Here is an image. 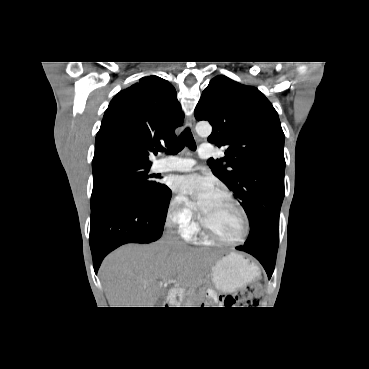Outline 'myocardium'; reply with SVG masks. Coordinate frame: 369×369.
Returning <instances> with one entry per match:
<instances>
[{
	"label": "myocardium",
	"instance_id": "myocardium-1",
	"mask_svg": "<svg viewBox=\"0 0 369 369\" xmlns=\"http://www.w3.org/2000/svg\"><path fill=\"white\" fill-rule=\"evenodd\" d=\"M216 193L218 195H221L223 197H226L227 199H229L234 206L238 209V211L240 212L241 216H242V220H243V232L242 235L239 238L236 239H226L223 238L219 235H217L216 233H214L204 222L202 215H199L198 218V227L199 230L201 231V233L208 239L221 243V244H225V245H238L243 243L244 241L247 240L249 233H250V222H249V217L248 214L246 212V210L244 209V207L241 205V203L228 191L226 190H218L216 191Z\"/></svg>",
	"mask_w": 369,
	"mask_h": 369
}]
</instances>
